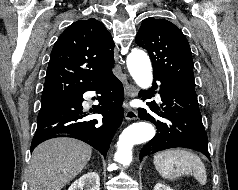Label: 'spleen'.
I'll use <instances>...</instances> for the list:
<instances>
[{
	"label": "spleen",
	"mask_w": 238,
	"mask_h": 190,
	"mask_svg": "<svg viewBox=\"0 0 238 190\" xmlns=\"http://www.w3.org/2000/svg\"><path fill=\"white\" fill-rule=\"evenodd\" d=\"M158 173L164 179L173 180L192 174L200 185L207 182L206 169L200 157L185 149H170L157 153L153 159Z\"/></svg>",
	"instance_id": "1"
}]
</instances>
